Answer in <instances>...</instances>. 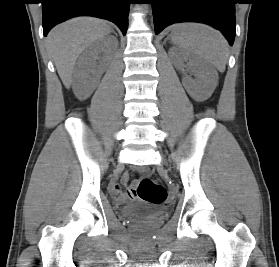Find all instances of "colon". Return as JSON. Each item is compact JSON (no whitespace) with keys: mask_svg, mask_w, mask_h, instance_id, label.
Returning <instances> with one entry per match:
<instances>
[{"mask_svg":"<svg viewBox=\"0 0 279 267\" xmlns=\"http://www.w3.org/2000/svg\"><path fill=\"white\" fill-rule=\"evenodd\" d=\"M135 186L137 191L133 192H138V198L147 203L162 204L167 198L166 188L153 181L147 174H144Z\"/></svg>","mask_w":279,"mask_h":267,"instance_id":"1","label":"colon"}]
</instances>
